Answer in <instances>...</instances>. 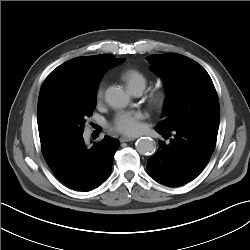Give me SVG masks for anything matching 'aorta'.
<instances>
[{
	"mask_svg": "<svg viewBox=\"0 0 250 250\" xmlns=\"http://www.w3.org/2000/svg\"><path fill=\"white\" fill-rule=\"evenodd\" d=\"M105 101L113 108H125L130 101L128 94L120 87L110 86L105 91ZM136 150L141 155H150L155 151V142L149 137H141L136 142Z\"/></svg>",
	"mask_w": 250,
	"mask_h": 250,
	"instance_id": "obj_1",
	"label": "aorta"
}]
</instances>
